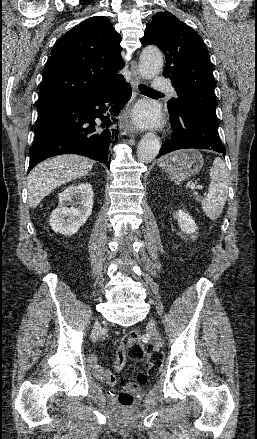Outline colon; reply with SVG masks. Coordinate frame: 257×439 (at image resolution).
Listing matches in <instances>:
<instances>
[{
    "label": "colon",
    "mask_w": 257,
    "mask_h": 439,
    "mask_svg": "<svg viewBox=\"0 0 257 439\" xmlns=\"http://www.w3.org/2000/svg\"><path fill=\"white\" fill-rule=\"evenodd\" d=\"M127 359L136 361L145 359L147 361V370L139 373L135 380L124 382V389L119 392L117 398L118 403L124 408H129L133 405L134 392L145 384L148 378L156 376L161 365L159 353L151 344H142L139 334L136 331H129L122 338L116 351L115 368H122ZM89 362L95 373L104 382L107 384H113L115 382V377L111 372L98 367V359L96 357H91Z\"/></svg>",
    "instance_id": "colon-1"
}]
</instances>
